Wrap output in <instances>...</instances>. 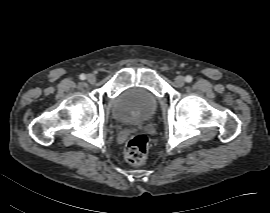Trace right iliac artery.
Instances as JSON below:
<instances>
[{
  "mask_svg": "<svg viewBox=\"0 0 270 213\" xmlns=\"http://www.w3.org/2000/svg\"><path fill=\"white\" fill-rule=\"evenodd\" d=\"M80 79H81V80H85V79H86V76H85L84 74H81V75H80Z\"/></svg>",
  "mask_w": 270,
  "mask_h": 213,
  "instance_id": "82829eb1",
  "label": "right iliac artery"
}]
</instances>
